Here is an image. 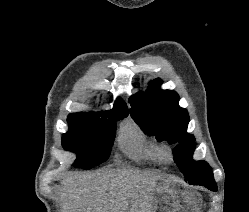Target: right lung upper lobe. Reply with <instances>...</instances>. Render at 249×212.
<instances>
[{"label":"right lung upper lobe","mask_w":249,"mask_h":212,"mask_svg":"<svg viewBox=\"0 0 249 212\" xmlns=\"http://www.w3.org/2000/svg\"><path fill=\"white\" fill-rule=\"evenodd\" d=\"M113 110H122V111L128 112V108L125 102L121 98H118V100L114 104Z\"/></svg>","instance_id":"right-lung-upper-lobe-1"}]
</instances>
